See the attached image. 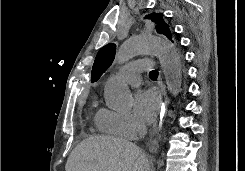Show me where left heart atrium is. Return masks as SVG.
Wrapping results in <instances>:
<instances>
[{"mask_svg": "<svg viewBox=\"0 0 245 171\" xmlns=\"http://www.w3.org/2000/svg\"><path fill=\"white\" fill-rule=\"evenodd\" d=\"M160 110V98L154 89L138 90L134 98V111L136 115L146 121L152 122Z\"/></svg>", "mask_w": 245, "mask_h": 171, "instance_id": "1", "label": "left heart atrium"}]
</instances>
